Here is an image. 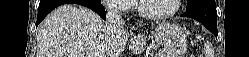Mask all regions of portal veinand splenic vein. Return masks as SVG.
Returning <instances> with one entry per match:
<instances>
[{
  "label": "portal vein and splenic vein",
  "instance_id": "18ae733b",
  "mask_svg": "<svg viewBox=\"0 0 249 57\" xmlns=\"http://www.w3.org/2000/svg\"><path fill=\"white\" fill-rule=\"evenodd\" d=\"M87 57H99V55H86Z\"/></svg>",
  "mask_w": 249,
  "mask_h": 57
}]
</instances>
